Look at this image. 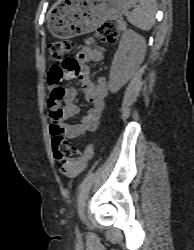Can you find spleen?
<instances>
[{"label":"spleen","mask_w":194,"mask_h":250,"mask_svg":"<svg viewBox=\"0 0 194 250\" xmlns=\"http://www.w3.org/2000/svg\"><path fill=\"white\" fill-rule=\"evenodd\" d=\"M139 6H137L128 15V21L135 27L149 31L155 22V11L157 7L156 0H138Z\"/></svg>","instance_id":"spleen-1"}]
</instances>
